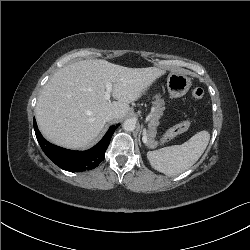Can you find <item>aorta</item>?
Masks as SVG:
<instances>
[{
	"mask_svg": "<svg viewBox=\"0 0 250 250\" xmlns=\"http://www.w3.org/2000/svg\"><path fill=\"white\" fill-rule=\"evenodd\" d=\"M136 127V121L134 119H127L123 123V129L125 131H133Z\"/></svg>",
	"mask_w": 250,
	"mask_h": 250,
	"instance_id": "obj_1",
	"label": "aorta"
}]
</instances>
